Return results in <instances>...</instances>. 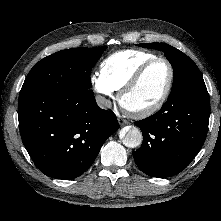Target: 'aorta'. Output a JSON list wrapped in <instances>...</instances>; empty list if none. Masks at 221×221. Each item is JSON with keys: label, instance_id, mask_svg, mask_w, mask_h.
Wrapping results in <instances>:
<instances>
[{"label": "aorta", "instance_id": "1", "mask_svg": "<svg viewBox=\"0 0 221 221\" xmlns=\"http://www.w3.org/2000/svg\"><path fill=\"white\" fill-rule=\"evenodd\" d=\"M121 140L126 147L136 148L141 145L143 136L139 128L128 126L122 130Z\"/></svg>", "mask_w": 221, "mask_h": 221}]
</instances>
